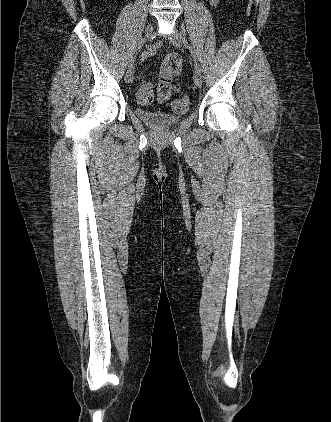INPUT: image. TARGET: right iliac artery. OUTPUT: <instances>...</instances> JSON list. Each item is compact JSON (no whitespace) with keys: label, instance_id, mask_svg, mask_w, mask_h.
Wrapping results in <instances>:
<instances>
[{"label":"right iliac artery","instance_id":"1","mask_svg":"<svg viewBox=\"0 0 331 422\" xmlns=\"http://www.w3.org/2000/svg\"><path fill=\"white\" fill-rule=\"evenodd\" d=\"M144 43H145V41H144V39H142L140 44L138 45L136 52H134V58L131 59L130 62H129V67H133V65L135 64V61H136V58H137V53L142 51Z\"/></svg>","mask_w":331,"mask_h":422}]
</instances>
